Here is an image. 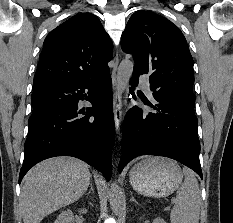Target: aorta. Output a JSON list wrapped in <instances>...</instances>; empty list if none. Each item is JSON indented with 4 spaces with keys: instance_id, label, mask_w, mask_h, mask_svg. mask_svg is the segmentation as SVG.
I'll list each match as a JSON object with an SVG mask.
<instances>
[{
    "instance_id": "1",
    "label": "aorta",
    "mask_w": 233,
    "mask_h": 223,
    "mask_svg": "<svg viewBox=\"0 0 233 223\" xmlns=\"http://www.w3.org/2000/svg\"><path fill=\"white\" fill-rule=\"evenodd\" d=\"M132 72H133V64L132 62H130V60H124V62H121L118 68V82L121 86V92H124V90H126ZM109 199L113 211H117L122 201V191L118 183H111Z\"/></svg>"
}]
</instances>
